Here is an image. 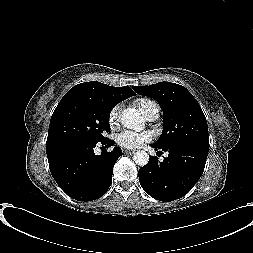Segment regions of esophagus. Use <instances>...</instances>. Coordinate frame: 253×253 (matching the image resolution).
<instances>
[{
    "instance_id": "34e87169",
    "label": "esophagus",
    "mask_w": 253,
    "mask_h": 253,
    "mask_svg": "<svg viewBox=\"0 0 253 253\" xmlns=\"http://www.w3.org/2000/svg\"><path fill=\"white\" fill-rule=\"evenodd\" d=\"M134 153H135V150H123L124 155L134 154Z\"/></svg>"
}]
</instances>
